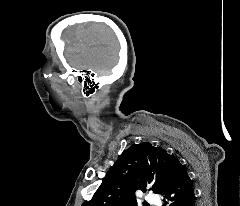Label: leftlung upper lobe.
Instances as JSON below:
<instances>
[{
	"label": "left lung upper lobe",
	"instance_id": "1",
	"mask_svg": "<svg viewBox=\"0 0 240 206\" xmlns=\"http://www.w3.org/2000/svg\"><path fill=\"white\" fill-rule=\"evenodd\" d=\"M177 161L150 143L132 144L113 165L93 198L82 206H136L137 190L163 195Z\"/></svg>",
	"mask_w": 240,
	"mask_h": 206
}]
</instances>
